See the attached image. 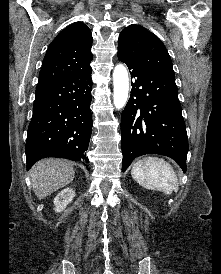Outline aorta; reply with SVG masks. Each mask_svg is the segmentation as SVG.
I'll return each instance as SVG.
<instances>
[{"mask_svg": "<svg viewBox=\"0 0 221 274\" xmlns=\"http://www.w3.org/2000/svg\"><path fill=\"white\" fill-rule=\"evenodd\" d=\"M113 103L116 109L123 108L128 100L129 78L128 72L124 65H116L113 71Z\"/></svg>", "mask_w": 221, "mask_h": 274, "instance_id": "1", "label": "aorta"}]
</instances>
